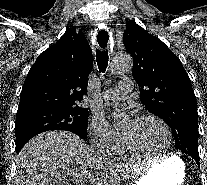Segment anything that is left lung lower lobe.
<instances>
[{
  "label": "left lung lower lobe",
  "instance_id": "1",
  "mask_svg": "<svg viewBox=\"0 0 207 185\" xmlns=\"http://www.w3.org/2000/svg\"><path fill=\"white\" fill-rule=\"evenodd\" d=\"M188 155L191 156L197 162V164L199 165V154H197V153H190Z\"/></svg>",
  "mask_w": 207,
  "mask_h": 185
}]
</instances>
